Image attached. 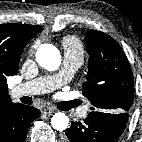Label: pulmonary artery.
Segmentation results:
<instances>
[{"label":"pulmonary artery","instance_id":"obj_1","mask_svg":"<svg viewBox=\"0 0 142 142\" xmlns=\"http://www.w3.org/2000/svg\"><path fill=\"white\" fill-rule=\"evenodd\" d=\"M81 64V56L66 53L64 56L63 66L58 73L19 83L12 87L11 96L13 98H18L24 95L44 94L56 90L73 77ZM86 115L87 108H82L79 112V116L84 118Z\"/></svg>","mask_w":142,"mask_h":142}]
</instances>
